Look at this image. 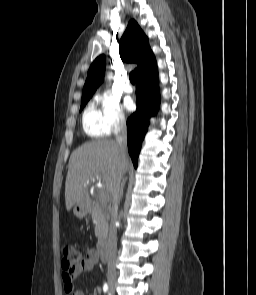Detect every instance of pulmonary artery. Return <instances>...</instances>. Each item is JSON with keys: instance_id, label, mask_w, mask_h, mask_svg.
I'll list each match as a JSON object with an SVG mask.
<instances>
[{"instance_id": "1", "label": "pulmonary artery", "mask_w": 256, "mask_h": 295, "mask_svg": "<svg viewBox=\"0 0 256 295\" xmlns=\"http://www.w3.org/2000/svg\"><path fill=\"white\" fill-rule=\"evenodd\" d=\"M124 91L126 92V93H131V92H133V87H132V85L130 84V82L127 80L126 81V83H125V85H124Z\"/></svg>"}]
</instances>
